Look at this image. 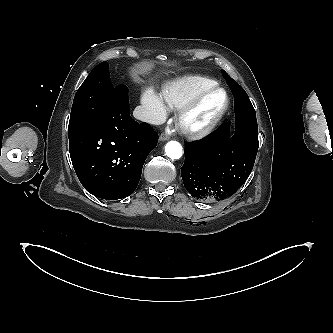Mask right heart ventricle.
Masks as SVG:
<instances>
[{
	"label": "right heart ventricle",
	"mask_w": 333,
	"mask_h": 333,
	"mask_svg": "<svg viewBox=\"0 0 333 333\" xmlns=\"http://www.w3.org/2000/svg\"><path fill=\"white\" fill-rule=\"evenodd\" d=\"M216 84L214 79L205 76H183L163 87L162 99L170 108L179 110L198 93Z\"/></svg>",
	"instance_id": "1"
}]
</instances>
